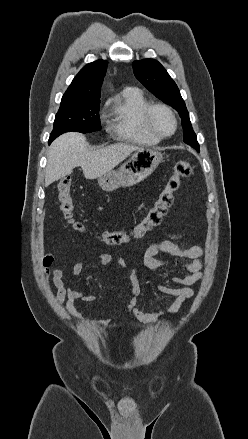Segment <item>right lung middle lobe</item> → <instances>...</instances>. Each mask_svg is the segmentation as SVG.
Masks as SVG:
<instances>
[{
	"instance_id": "obj_1",
	"label": "right lung middle lobe",
	"mask_w": 248,
	"mask_h": 439,
	"mask_svg": "<svg viewBox=\"0 0 248 439\" xmlns=\"http://www.w3.org/2000/svg\"><path fill=\"white\" fill-rule=\"evenodd\" d=\"M100 100H64L62 99L50 134L49 143L59 135L77 131L88 133L101 130L99 119Z\"/></svg>"
}]
</instances>
